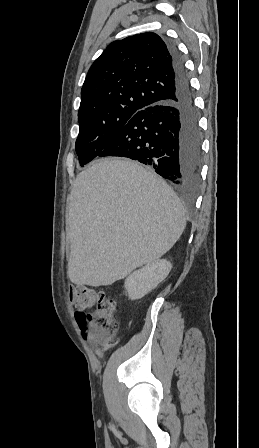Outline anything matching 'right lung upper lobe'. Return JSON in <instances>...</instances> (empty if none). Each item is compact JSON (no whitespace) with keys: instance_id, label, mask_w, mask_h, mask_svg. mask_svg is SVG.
<instances>
[{"instance_id":"right-lung-upper-lobe-1","label":"right lung upper lobe","mask_w":259,"mask_h":448,"mask_svg":"<svg viewBox=\"0 0 259 448\" xmlns=\"http://www.w3.org/2000/svg\"><path fill=\"white\" fill-rule=\"evenodd\" d=\"M175 73L166 43L146 32L108 45L94 61L81 91L78 115L144 110L171 99Z\"/></svg>"}]
</instances>
